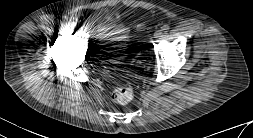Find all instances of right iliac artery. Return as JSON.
<instances>
[{"label": "right iliac artery", "mask_w": 253, "mask_h": 138, "mask_svg": "<svg viewBox=\"0 0 253 138\" xmlns=\"http://www.w3.org/2000/svg\"><path fill=\"white\" fill-rule=\"evenodd\" d=\"M69 28H70L71 30H75L76 25H75L74 23H71V24L69 25Z\"/></svg>", "instance_id": "1"}]
</instances>
